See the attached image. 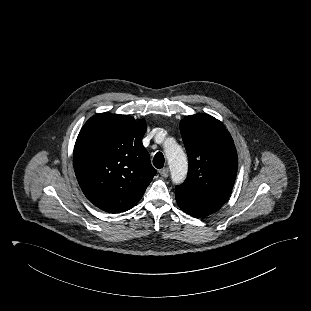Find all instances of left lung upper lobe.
Here are the masks:
<instances>
[{
    "mask_svg": "<svg viewBox=\"0 0 311 311\" xmlns=\"http://www.w3.org/2000/svg\"><path fill=\"white\" fill-rule=\"evenodd\" d=\"M180 131L189 171L177 187L192 195L224 204L232 193L238 156L233 139L222 122L208 114L186 116Z\"/></svg>",
    "mask_w": 311,
    "mask_h": 311,
    "instance_id": "1",
    "label": "left lung upper lobe"
}]
</instances>
